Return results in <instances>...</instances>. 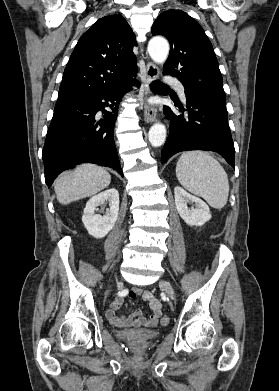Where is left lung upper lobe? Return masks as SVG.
<instances>
[{
	"label": "left lung upper lobe",
	"instance_id": "obj_1",
	"mask_svg": "<svg viewBox=\"0 0 279 391\" xmlns=\"http://www.w3.org/2000/svg\"><path fill=\"white\" fill-rule=\"evenodd\" d=\"M151 31L170 42L164 73L176 77L184 85L186 94L226 108L218 61L202 27L185 12L171 9L158 16Z\"/></svg>",
	"mask_w": 279,
	"mask_h": 391
}]
</instances>
